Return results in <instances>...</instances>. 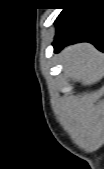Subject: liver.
Wrapping results in <instances>:
<instances>
[{
    "label": "liver",
    "instance_id": "obj_1",
    "mask_svg": "<svg viewBox=\"0 0 104 169\" xmlns=\"http://www.w3.org/2000/svg\"><path fill=\"white\" fill-rule=\"evenodd\" d=\"M61 58L65 74L83 85L94 84L102 77L103 56L91 44L69 46L61 52Z\"/></svg>",
    "mask_w": 104,
    "mask_h": 169
}]
</instances>
